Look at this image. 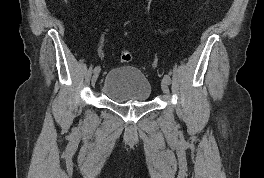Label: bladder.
<instances>
[{
  "label": "bladder",
  "mask_w": 264,
  "mask_h": 178,
  "mask_svg": "<svg viewBox=\"0 0 264 178\" xmlns=\"http://www.w3.org/2000/svg\"><path fill=\"white\" fill-rule=\"evenodd\" d=\"M151 92L149 80L135 67L111 69L101 84V93L116 103L145 102L150 99Z\"/></svg>",
  "instance_id": "bladder-1"
}]
</instances>
